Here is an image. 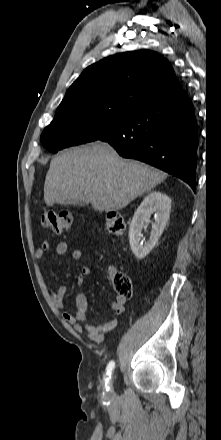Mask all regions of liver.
Wrapping results in <instances>:
<instances>
[{"label": "liver", "instance_id": "1", "mask_svg": "<svg viewBox=\"0 0 221 440\" xmlns=\"http://www.w3.org/2000/svg\"><path fill=\"white\" fill-rule=\"evenodd\" d=\"M166 177L154 167L122 159L109 144L98 141L65 150L51 160L44 200L52 206L75 199L88 201L96 211H118Z\"/></svg>", "mask_w": 221, "mask_h": 440}]
</instances>
